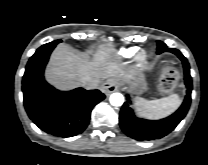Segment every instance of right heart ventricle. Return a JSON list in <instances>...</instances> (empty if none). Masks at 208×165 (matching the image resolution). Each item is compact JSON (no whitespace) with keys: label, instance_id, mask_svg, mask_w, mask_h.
Returning <instances> with one entry per match:
<instances>
[{"label":"right heart ventricle","instance_id":"e07e8e85","mask_svg":"<svg viewBox=\"0 0 208 165\" xmlns=\"http://www.w3.org/2000/svg\"><path fill=\"white\" fill-rule=\"evenodd\" d=\"M134 52H135L134 49H130V50H128V51H125V52L123 53V55L128 56V55H131V54L134 53Z\"/></svg>","mask_w":208,"mask_h":165}]
</instances>
